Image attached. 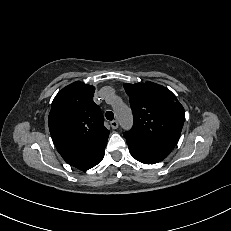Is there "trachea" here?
<instances>
[{
    "label": "trachea",
    "instance_id": "trachea-1",
    "mask_svg": "<svg viewBox=\"0 0 231 231\" xmlns=\"http://www.w3.org/2000/svg\"><path fill=\"white\" fill-rule=\"evenodd\" d=\"M105 116H106L107 120H110V121L113 120V118H114V114L112 111H107Z\"/></svg>",
    "mask_w": 231,
    "mask_h": 231
}]
</instances>
